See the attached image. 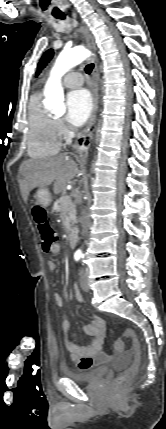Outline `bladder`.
<instances>
[{"mask_svg": "<svg viewBox=\"0 0 166 429\" xmlns=\"http://www.w3.org/2000/svg\"><path fill=\"white\" fill-rule=\"evenodd\" d=\"M108 372V366H100L88 372H78L75 370L66 369L64 375L77 383H91L103 378Z\"/></svg>", "mask_w": 166, "mask_h": 429, "instance_id": "bladder-1", "label": "bladder"}]
</instances>
